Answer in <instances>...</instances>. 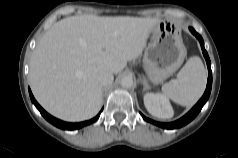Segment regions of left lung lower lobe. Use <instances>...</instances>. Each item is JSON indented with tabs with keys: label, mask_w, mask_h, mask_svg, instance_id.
I'll return each instance as SVG.
<instances>
[{
	"label": "left lung lower lobe",
	"mask_w": 238,
	"mask_h": 158,
	"mask_svg": "<svg viewBox=\"0 0 238 158\" xmlns=\"http://www.w3.org/2000/svg\"><path fill=\"white\" fill-rule=\"evenodd\" d=\"M189 29L196 36V38L199 40V42L201 44L203 55L207 62L208 71H209L207 87H206L204 95L198 101V103L186 115H184L182 118H180L179 120H177L175 122L160 123V122L153 121V120L145 117L144 115H142V117L144 118L145 121L153 123V124H155L159 127H162V128H166V129L180 128V127L186 125L187 123H189L190 121H192L197 116V114L200 112V110L202 109V107L206 103V101L208 100L210 93H211V87H212L211 62H210L209 56L204 48V41H203L202 37L193 28L190 27Z\"/></svg>",
	"instance_id": "0a47b994"
}]
</instances>
